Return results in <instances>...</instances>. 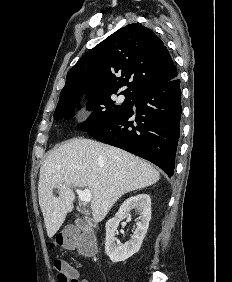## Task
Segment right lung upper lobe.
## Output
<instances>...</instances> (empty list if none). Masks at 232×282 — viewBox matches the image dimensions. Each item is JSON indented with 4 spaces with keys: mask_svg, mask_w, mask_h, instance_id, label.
Wrapping results in <instances>:
<instances>
[{
    "mask_svg": "<svg viewBox=\"0 0 232 282\" xmlns=\"http://www.w3.org/2000/svg\"><path fill=\"white\" fill-rule=\"evenodd\" d=\"M178 76L168 49L154 32L129 24L84 55L68 72L60 100L75 94L117 91L136 95L144 87Z\"/></svg>",
    "mask_w": 232,
    "mask_h": 282,
    "instance_id": "cb5924a9",
    "label": "right lung upper lobe"
}]
</instances>
